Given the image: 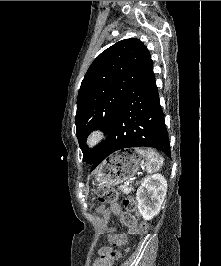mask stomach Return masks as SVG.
Segmentation results:
<instances>
[{"label":"stomach","instance_id":"1","mask_svg":"<svg viewBox=\"0 0 221 266\" xmlns=\"http://www.w3.org/2000/svg\"><path fill=\"white\" fill-rule=\"evenodd\" d=\"M144 164V156L137 149H127L110 155L98 167L95 180L115 186L133 177Z\"/></svg>","mask_w":221,"mask_h":266}]
</instances>
